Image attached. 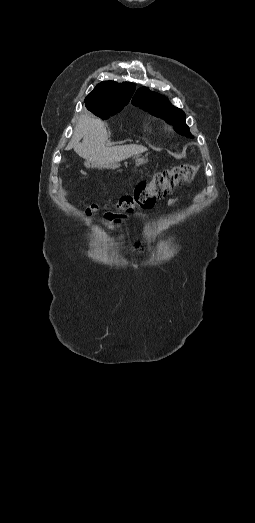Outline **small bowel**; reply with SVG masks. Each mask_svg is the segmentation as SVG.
Returning <instances> with one entry per match:
<instances>
[{"mask_svg": "<svg viewBox=\"0 0 255 523\" xmlns=\"http://www.w3.org/2000/svg\"><path fill=\"white\" fill-rule=\"evenodd\" d=\"M167 203H168V205L173 206V205H176L179 203V199H176V198L169 199ZM138 216L145 217V215H143V214H138ZM135 249L137 250L138 253H141L143 251V248L139 242L135 243Z\"/></svg>", "mask_w": 255, "mask_h": 523, "instance_id": "obj_1", "label": "small bowel"}]
</instances>
